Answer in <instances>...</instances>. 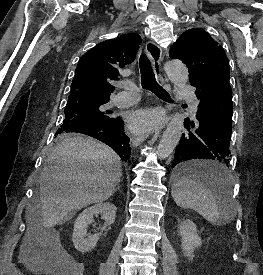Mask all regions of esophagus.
Returning <instances> with one entry per match:
<instances>
[{"mask_svg": "<svg viewBox=\"0 0 263 275\" xmlns=\"http://www.w3.org/2000/svg\"><path fill=\"white\" fill-rule=\"evenodd\" d=\"M146 53L152 62L153 70L157 79H162L161 77V61H162V49L154 41H148L146 44ZM163 126H157L158 131ZM145 140V135L132 136L131 141L134 147L139 146Z\"/></svg>", "mask_w": 263, "mask_h": 275, "instance_id": "esophagus-1", "label": "esophagus"}]
</instances>
